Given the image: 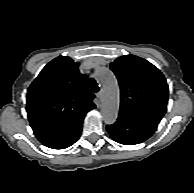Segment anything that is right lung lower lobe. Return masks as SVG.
<instances>
[{"mask_svg": "<svg viewBox=\"0 0 194 193\" xmlns=\"http://www.w3.org/2000/svg\"><path fill=\"white\" fill-rule=\"evenodd\" d=\"M84 119V118H83ZM80 119L66 128L57 132L37 137L38 140L45 146L53 149H64L75 143L82 131V122Z\"/></svg>", "mask_w": 194, "mask_h": 193, "instance_id": "98d812e1", "label": "right lung lower lobe"}]
</instances>
